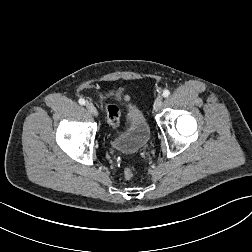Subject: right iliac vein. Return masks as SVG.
Segmentation results:
<instances>
[{
  "label": "right iliac vein",
  "mask_w": 252,
  "mask_h": 252,
  "mask_svg": "<svg viewBox=\"0 0 252 252\" xmlns=\"http://www.w3.org/2000/svg\"><path fill=\"white\" fill-rule=\"evenodd\" d=\"M86 108H87L88 112H89L91 115H93V116H95V117L98 116L97 109L94 107L93 104L87 103V104H86Z\"/></svg>",
  "instance_id": "1"
}]
</instances>
